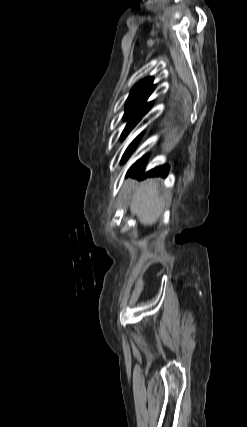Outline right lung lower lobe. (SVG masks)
Instances as JSON below:
<instances>
[{
  "instance_id": "1",
  "label": "right lung lower lobe",
  "mask_w": 247,
  "mask_h": 427,
  "mask_svg": "<svg viewBox=\"0 0 247 427\" xmlns=\"http://www.w3.org/2000/svg\"><path fill=\"white\" fill-rule=\"evenodd\" d=\"M141 139V135L138 136L127 148L126 152L123 155L122 162H125L128 157L130 156L131 152L135 149L137 144L139 143ZM147 161V158L144 156L141 159H139L135 164L132 165V167L129 169L127 175L132 177H146V176H162L166 177L168 175L169 167L167 165L160 166L155 169L150 170L146 174H144L145 170V163Z\"/></svg>"
}]
</instances>
